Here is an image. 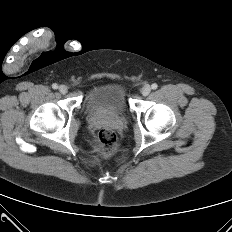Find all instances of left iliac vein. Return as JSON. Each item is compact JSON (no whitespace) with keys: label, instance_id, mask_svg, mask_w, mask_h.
Returning <instances> with one entry per match:
<instances>
[{"label":"left iliac vein","instance_id":"4c4485c4","mask_svg":"<svg viewBox=\"0 0 232 232\" xmlns=\"http://www.w3.org/2000/svg\"><path fill=\"white\" fill-rule=\"evenodd\" d=\"M150 92H151V87L148 84L144 85L141 89V93L143 96L149 95Z\"/></svg>","mask_w":232,"mask_h":232}]
</instances>
